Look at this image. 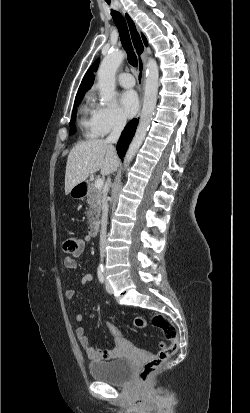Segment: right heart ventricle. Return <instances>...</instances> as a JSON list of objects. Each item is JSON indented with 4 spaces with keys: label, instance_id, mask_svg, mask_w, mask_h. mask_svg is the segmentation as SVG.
I'll use <instances>...</instances> for the list:
<instances>
[{
    "label": "right heart ventricle",
    "instance_id": "1",
    "mask_svg": "<svg viewBox=\"0 0 250 413\" xmlns=\"http://www.w3.org/2000/svg\"><path fill=\"white\" fill-rule=\"evenodd\" d=\"M95 109L91 104L90 95L87 96L85 103L80 108V120L79 126L82 134L86 138H93L98 136L95 120H94Z\"/></svg>",
    "mask_w": 250,
    "mask_h": 413
}]
</instances>
